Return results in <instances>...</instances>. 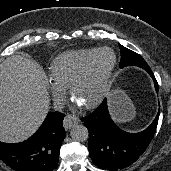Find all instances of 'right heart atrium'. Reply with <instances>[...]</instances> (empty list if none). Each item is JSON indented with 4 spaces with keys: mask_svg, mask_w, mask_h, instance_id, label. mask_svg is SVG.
I'll return each instance as SVG.
<instances>
[{
    "mask_svg": "<svg viewBox=\"0 0 171 171\" xmlns=\"http://www.w3.org/2000/svg\"><path fill=\"white\" fill-rule=\"evenodd\" d=\"M49 90L56 104H61L64 101L67 88L61 84H57L52 80L49 82Z\"/></svg>",
    "mask_w": 171,
    "mask_h": 171,
    "instance_id": "1",
    "label": "right heart atrium"
}]
</instances>
